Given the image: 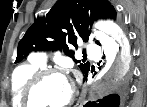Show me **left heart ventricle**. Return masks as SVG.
Segmentation results:
<instances>
[{
    "mask_svg": "<svg viewBox=\"0 0 147 107\" xmlns=\"http://www.w3.org/2000/svg\"><path fill=\"white\" fill-rule=\"evenodd\" d=\"M71 93L68 80L62 77H49L34 91L32 100L37 107H58L65 103Z\"/></svg>",
    "mask_w": 147,
    "mask_h": 107,
    "instance_id": "obj_1",
    "label": "left heart ventricle"
}]
</instances>
